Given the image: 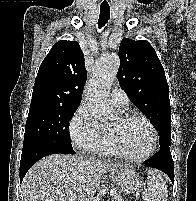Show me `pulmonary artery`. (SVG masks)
Returning a JSON list of instances; mask_svg holds the SVG:
<instances>
[{"mask_svg": "<svg viewBox=\"0 0 196 201\" xmlns=\"http://www.w3.org/2000/svg\"><path fill=\"white\" fill-rule=\"evenodd\" d=\"M110 100L112 105L121 112L125 111L128 108L129 105L128 96L120 88H115L112 90Z\"/></svg>", "mask_w": 196, "mask_h": 201, "instance_id": "pulmonary-artery-1", "label": "pulmonary artery"}]
</instances>
